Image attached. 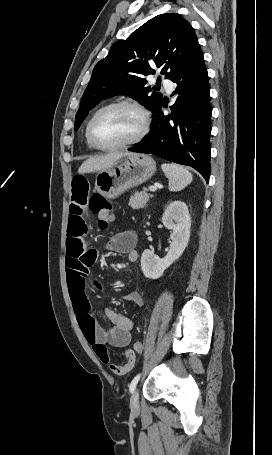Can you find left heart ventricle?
<instances>
[{
	"label": "left heart ventricle",
	"mask_w": 272,
	"mask_h": 455,
	"mask_svg": "<svg viewBox=\"0 0 272 455\" xmlns=\"http://www.w3.org/2000/svg\"><path fill=\"white\" fill-rule=\"evenodd\" d=\"M139 113L131 107L119 106L101 113L93 132L98 143L112 146L134 138L141 129Z\"/></svg>",
	"instance_id": "left-heart-ventricle-1"
}]
</instances>
